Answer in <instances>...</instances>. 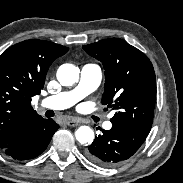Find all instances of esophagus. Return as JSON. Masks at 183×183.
I'll use <instances>...</instances> for the list:
<instances>
[{"label": "esophagus", "instance_id": "1", "mask_svg": "<svg viewBox=\"0 0 183 183\" xmlns=\"http://www.w3.org/2000/svg\"><path fill=\"white\" fill-rule=\"evenodd\" d=\"M82 121L77 120V119H68L65 124L70 126V127H75L77 126L79 123H81Z\"/></svg>", "mask_w": 183, "mask_h": 183}]
</instances>
